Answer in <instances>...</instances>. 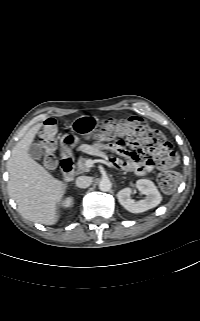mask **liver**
Listing matches in <instances>:
<instances>
[{"instance_id":"1","label":"liver","mask_w":200,"mask_h":321,"mask_svg":"<svg viewBox=\"0 0 200 321\" xmlns=\"http://www.w3.org/2000/svg\"><path fill=\"white\" fill-rule=\"evenodd\" d=\"M43 124L29 129L12 150L7 162L8 192L25 219L54 225L59 219L58 205L65 194L66 184L54 178L29 155V146Z\"/></svg>"}]
</instances>
